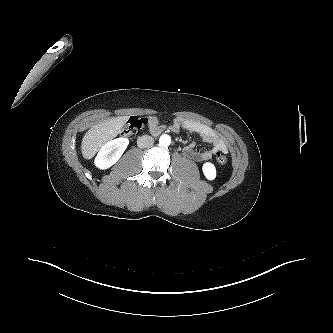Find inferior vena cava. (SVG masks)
Here are the masks:
<instances>
[{"instance_id": "obj_1", "label": "inferior vena cava", "mask_w": 333, "mask_h": 333, "mask_svg": "<svg viewBox=\"0 0 333 333\" xmlns=\"http://www.w3.org/2000/svg\"><path fill=\"white\" fill-rule=\"evenodd\" d=\"M154 143V139L151 136L143 135L138 137L137 145L139 148H146Z\"/></svg>"}]
</instances>
